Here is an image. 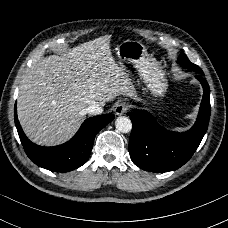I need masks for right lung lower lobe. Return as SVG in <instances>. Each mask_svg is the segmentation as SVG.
I'll return each instance as SVG.
<instances>
[{
	"label": "right lung lower lobe",
	"mask_w": 228,
	"mask_h": 228,
	"mask_svg": "<svg viewBox=\"0 0 228 228\" xmlns=\"http://www.w3.org/2000/svg\"><path fill=\"white\" fill-rule=\"evenodd\" d=\"M17 131L27 156L38 166L55 172L72 171L89 159L96 134L115 116L104 114L86 119L74 137L59 146L43 147L32 143L24 134L14 108Z\"/></svg>",
	"instance_id": "1"
}]
</instances>
